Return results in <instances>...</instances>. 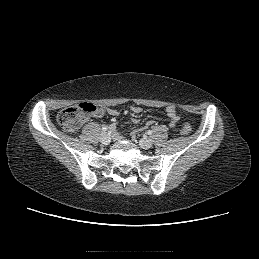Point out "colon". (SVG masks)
Wrapping results in <instances>:
<instances>
[{
	"instance_id": "1",
	"label": "colon",
	"mask_w": 259,
	"mask_h": 259,
	"mask_svg": "<svg viewBox=\"0 0 259 259\" xmlns=\"http://www.w3.org/2000/svg\"><path fill=\"white\" fill-rule=\"evenodd\" d=\"M97 107L90 103L84 102L62 109L57 115V122L66 132H75L81 124L97 111ZM192 129L189 124H183L181 133L189 135Z\"/></svg>"
}]
</instances>
